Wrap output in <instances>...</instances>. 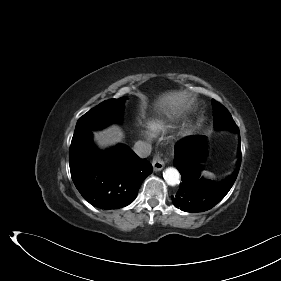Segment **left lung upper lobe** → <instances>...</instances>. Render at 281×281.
<instances>
[{
  "label": "left lung upper lobe",
  "mask_w": 281,
  "mask_h": 281,
  "mask_svg": "<svg viewBox=\"0 0 281 281\" xmlns=\"http://www.w3.org/2000/svg\"><path fill=\"white\" fill-rule=\"evenodd\" d=\"M214 124L218 128L235 131L238 129L228 110L215 100H212Z\"/></svg>",
  "instance_id": "obj_1"
}]
</instances>
